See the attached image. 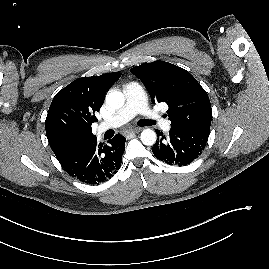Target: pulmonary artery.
I'll use <instances>...</instances> for the list:
<instances>
[{
  "mask_svg": "<svg viewBox=\"0 0 269 269\" xmlns=\"http://www.w3.org/2000/svg\"><path fill=\"white\" fill-rule=\"evenodd\" d=\"M123 93L126 97L125 105L110 119L99 124L97 129L99 133L117 128L137 114L144 116L148 120L158 122L165 131L170 130V121L162 119L160 115L149 108L145 91L141 85L136 82L127 83L123 87Z\"/></svg>",
  "mask_w": 269,
  "mask_h": 269,
  "instance_id": "obj_1",
  "label": "pulmonary artery"
}]
</instances>
